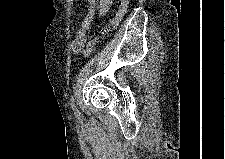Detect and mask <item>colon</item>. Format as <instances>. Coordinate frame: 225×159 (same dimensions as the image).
<instances>
[{"label": "colon", "instance_id": "1", "mask_svg": "<svg viewBox=\"0 0 225 159\" xmlns=\"http://www.w3.org/2000/svg\"><path fill=\"white\" fill-rule=\"evenodd\" d=\"M128 5H129V0H123L120 3L115 16L107 23V25L101 30V32L98 35H96L86 46L84 50L85 57H89L91 53L93 52V50L95 49L96 45L99 43V41L105 36H107L118 25V23L124 17L127 11Z\"/></svg>", "mask_w": 225, "mask_h": 159}]
</instances>
